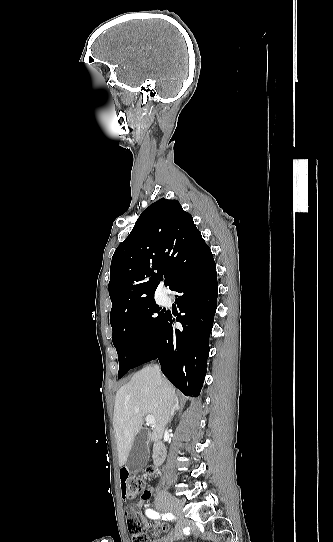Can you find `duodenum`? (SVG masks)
I'll return each mask as SVG.
<instances>
[{
  "mask_svg": "<svg viewBox=\"0 0 333 542\" xmlns=\"http://www.w3.org/2000/svg\"><path fill=\"white\" fill-rule=\"evenodd\" d=\"M166 458V447L160 443L156 442L153 446L152 460L155 466L161 465Z\"/></svg>",
  "mask_w": 333,
  "mask_h": 542,
  "instance_id": "duodenum-1",
  "label": "duodenum"
}]
</instances>
